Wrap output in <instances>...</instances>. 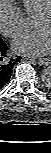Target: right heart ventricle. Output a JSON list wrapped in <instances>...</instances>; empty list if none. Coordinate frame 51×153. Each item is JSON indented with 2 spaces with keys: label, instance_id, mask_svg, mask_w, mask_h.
I'll use <instances>...</instances> for the list:
<instances>
[{
  "label": "right heart ventricle",
  "instance_id": "right-heart-ventricle-1",
  "mask_svg": "<svg viewBox=\"0 0 51 153\" xmlns=\"http://www.w3.org/2000/svg\"><path fill=\"white\" fill-rule=\"evenodd\" d=\"M50 5L51 0H21L23 13L30 17H35Z\"/></svg>",
  "mask_w": 51,
  "mask_h": 153
}]
</instances>
